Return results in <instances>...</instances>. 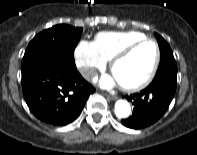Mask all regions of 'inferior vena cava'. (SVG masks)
<instances>
[{
  "label": "inferior vena cava",
  "mask_w": 197,
  "mask_h": 155,
  "mask_svg": "<svg viewBox=\"0 0 197 155\" xmlns=\"http://www.w3.org/2000/svg\"><path fill=\"white\" fill-rule=\"evenodd\" d=\"M80 73L82 74L83 77L90 78L92 75H94V70L91 68H82L80 70Z\"/></svg>",
  "instance_id": "602c4592"
}]
</instances>
